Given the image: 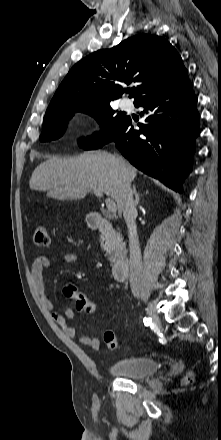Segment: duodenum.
<instances>
[{"mask_svg": "<svg viewBox=\"0 0 221 440\" xmlns=\"http://www.w3.org/2000/svg\"><path fill=\"white\" fill-rule=\"evenodd\" d=\"M89 223L93 228L98 229L102 232L106 237H116V232L113 229L111 223L103 218L98 213H93L89 216ZM130 269V259L123 255L120 259H118L112 268L113 278L117 281H123L127 278Z\"/></svg>", "mask_w": 221, "mask_h": 440, "instance_id": "duodenum-1", "label": "duodenum"}]
</instances>
